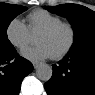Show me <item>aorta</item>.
<instances>
[{"mask_svg": "<svg viewBox=\"0 0 95 95\" xmlns=\"http://www.w3.org/2000/svg\"><path fill=\"white\" fill-rule=\"evenodd\" d=\"M53 70L52 68L45 63H42L36 68V76L41 81H49L52 77Z\"/></svg>", "mask_w": 95, "mask_h": 95, "instance_id": "obj_1", "label": "aorta"}]
</instances>
